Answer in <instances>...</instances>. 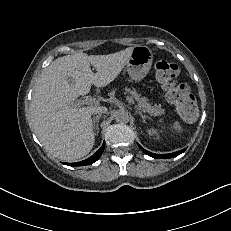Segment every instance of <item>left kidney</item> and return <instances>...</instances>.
<instances>
[{"label": "left kidney", "mask_w": 231, "mask_h": 231, "mask_svg": "<svg viewBox=\"0 0 231 231\" xmlns=\"http://www.w3.org/2000/svg\"><path fill=\"white\" fill-rule=\"evenodd\" d=\"M147 133L149 136L156 137L157 139L159 138V134L157 133V131L154 128L148 129Z\"/></svg>", "instance_id": "5707ae66"}]
</instances>
